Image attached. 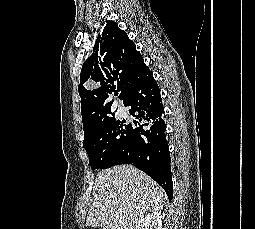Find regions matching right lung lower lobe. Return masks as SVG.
I'll return each instance as SVG.
<instances>
[{
  "instance_id": "obj_1",
  "label": "right lung lower lobe",
  "mask_w": 255,
  "mask_h": 229,
  "mask_svg": "<svg viewBox=\"0 0 255 229\" xmlns=\"http://www.w3.org/2000/svg\"><path fill=\"white\" fill-rule=\"evenodd\" d=\"M124 106L139 122L130 125L133 155L121 164H133L153 178L173 198L171 158L162 119L164 108L160 89L148 67L138 72L130 85Z\"/></svg>"
}]
</instances>
